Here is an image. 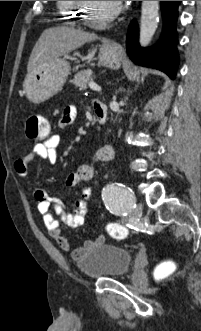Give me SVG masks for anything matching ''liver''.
Here are the masks:
<instances>
[{"label": "liver", "instance_id": "obj_1", "mask_svg": "<svg viewBox=\"0 0 201 331\" xmlns=\"http://www.w3.org/2000/svg\"><path fill=\"white\" fill-rule=\"evenodd\" d=\"M98 39L94 34L68 26L46 29L42 32L29 57L27 71L37 72L53 60L67 55L86 42Z\"/></svg>", "mask_w": 201, "mask_h": 331}]
</instances>
